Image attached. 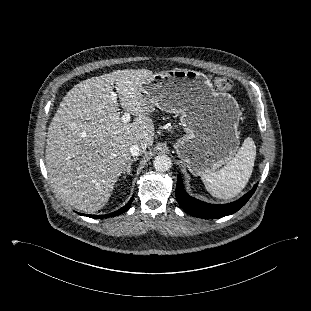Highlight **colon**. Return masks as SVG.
Segmentation results:
<instances>
[{
    "label": "colon",
    "mask_w": 311,
    "mask_h": 311,
    "mask_svg": "<svg viewBox=\"0 0 311 311\" xmlns=\"http://www.w3.org/2000/svg\"><path fill=\"white\" fill-rule=\"evenodd\" d=\"M214 82L215 86L221 91H228L233 87V82L225 77L216 78Z\"/></svg>",
    "instance_id": "obj_1"
}]
</instances>
